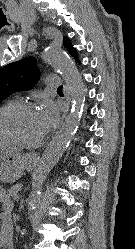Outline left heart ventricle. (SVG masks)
Instances as JSON below:
<instances>
[{"mask_svg":"<svg viewBox=\"0 0 135 249\" xmlns=\"http://www.w3.org/2000/svg\"><path fill=\"white\" fill-rule=\"evenodd\" d=\"M2 125L6 131L29 142L44 135L36 109L12 111L3 118Z\"/></svg>","mask_w":135,"mask_h":249,"instance_id":"b2bd125f","label":"left heart ventricle"}]
</instances>
